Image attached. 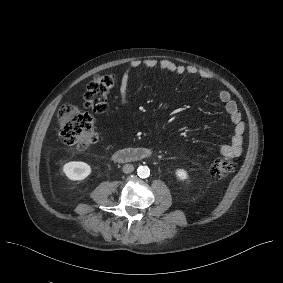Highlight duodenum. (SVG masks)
Here are the masks:
<instances>
[{
    "mask_svg": "<svg viewBox=\"0 0 283 283\" xmlns=\"http://www.w3.org/2000/svg\"><path fill=\"white\" fill-rule=\"evenodd\" d=\"M153 153L147 148H129L114 153L113 160L118 163L135 162L149 159Z\"/></svg>",
    "mask_w": 283,
    "mask_h": 283,
    "instance_id": "410a0bca",
    "label": "duodenum"
}]
</instances>
